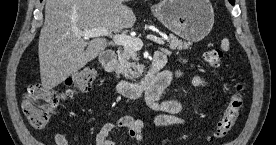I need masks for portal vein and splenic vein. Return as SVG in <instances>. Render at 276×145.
Here are the masks:
<instances>
[{"label":"portal vein and splenic vein","mask_w":276,"mask_h":145,"mask_svg":"<svg viewBox=\"0 0 276 145\" xmlns=\"http://www.w3.org/2000/svg\"><path fill=\"white\" fill-rule=\"evenodd\" d=\"M76 34L84 38L109 36L117 45H122L124 47H129L136 50H140L143 46V42L139 38L131 37L124 34L112 35V33L105 28H92L89 30L77 31ZM147 39H150L151 41L159 45L165 44V42L161 38L154 35H148Z\"/></svg>","instance_id":"18ae733b"}]
</instances>
